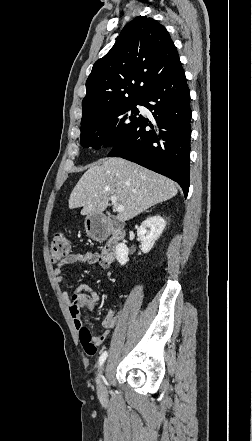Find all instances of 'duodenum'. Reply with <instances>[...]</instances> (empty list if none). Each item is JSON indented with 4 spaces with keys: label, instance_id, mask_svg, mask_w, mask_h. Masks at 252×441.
<instances>
[{
    "label": "duodenum",
    "instance_id": "410a0bca",
    "mask_svg": "<svg viewBox=\"0 0 252 441\" xmlns=\"http://www.w3.org/2000/svg\"><path fill=\"white\" fill-rule=\"evenodd\" d=\"M88 229L89 235L93 240L107 239L101 257L103 260L111 262L116 256L119 243L126 234L122 224L116 220L103 224L100 219L92 218L88 220Z\"/></svg>",
    "mask_w": 252,
    "mask_h": 441
}]
</instances>
